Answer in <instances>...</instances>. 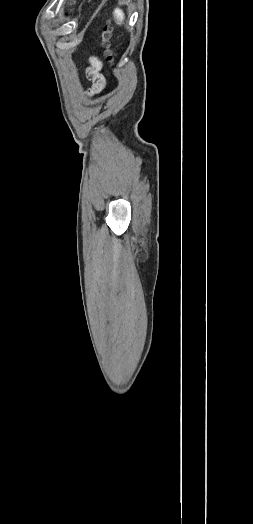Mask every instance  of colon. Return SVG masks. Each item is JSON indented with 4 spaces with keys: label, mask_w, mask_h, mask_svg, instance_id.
I'll return each instance as SVG.
<instances>
[{
    "label": "colon",
    "mask_w": 253,
    "mask_h": 524,
    "mask_svg": "<svg viewBox=\"0 0 253 524\" xmlns=\"http://www.w3.org/2000/svg\"><path fill=\"white\" fill-rule=\"evenodd\" d=\"M112 27L106 25L102 30V47L104 49V55L109 61L114 59V50L112 48Z\"/></svg>",
    "instance_id": "5ec220e1"
}]
</instances>
